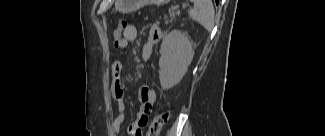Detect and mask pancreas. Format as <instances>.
I'll return each mask as SVG.
<instances>
[{"instance_id": "obj_1", "label": "pancreas", "mask_w": 325, "mask_h": 136, "mask_svg": "<svg viewBox=\"0 0 325 136\" xmlns=\"http://www.w3.org/2000/svg\"><path fill=\"white\" fill-rule=\"evenodd\" d=\"M165 18H166V19H173L174 16H171L170 12H166V13H165Z\"/></svg>"}]
</instances>
